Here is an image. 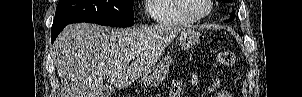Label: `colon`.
<instances>
[{
  "instance_id": "colon-1",
  "label": "colon",
  "mask_w": 302,
  "mask_h": 97,
  "mask_svg": "<svg viewBox=\"0 0 302 97\" xmlns=\"http://www.w3.org/2000/svg\"><path fill=\"white\" fill-rule=\"evenodd\" d=\"M216 59H217L218 64L225 66V67L233 66L237 62V56L232 51L219 52L217 54Z\"/></svg>"
}]
</instances>
